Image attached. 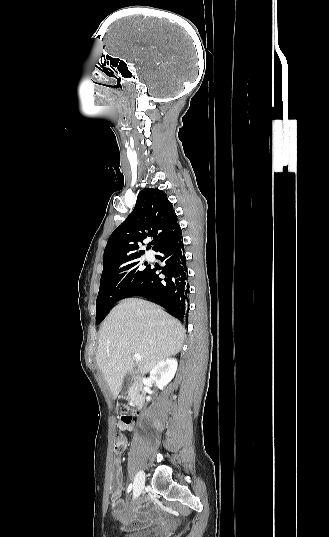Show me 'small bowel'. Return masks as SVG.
<instances>
[{
  "mask_svg": "<svg viewBox=\"0 0 329 537\" xmlns=\"http://www.w3.org/2000/svg\"><path fill=\"white\" fill-rule=\"evenodd\" d=\"M119 428L131 430V425L118 423ZM115 474L113 477V489L110 497V505L112 512L116 518H119L118 512L125 506V502L121 499L122 495V477L120 473L121 459L115 456L113 460ZM160 518L159 507L153 500L143 503L138 502L128 510V513L122 518V523L127 531L144 528L155 520Z\"/></svg>",
  "mask_w": 329,
  "mask_h": 537,
  "instance_id": "obj_1",
  "label": "small bowel"
}]
</instances>
